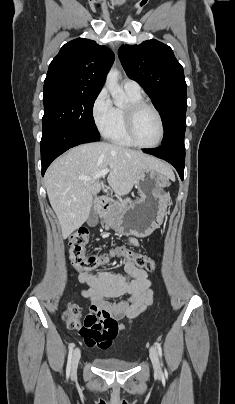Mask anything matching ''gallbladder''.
<instances>
[{
    "mask_svg": "<svg viewBox=\"0 0 235 404\" xmlns=\"http://www.w3.org/2000/svg\"><path fill=\"white\" fill-rule=\"evenodd\" d=\"M98 221V215L95 212V206L93 205L89 219H88V224L89 226H95L97 224Z\"/></svg>",
    "mask_w": 235,
    "mask_h": 404,
    "instance_id": "1",
    "label": "gallbladder"
}]
</instances>
